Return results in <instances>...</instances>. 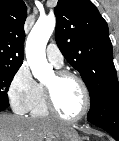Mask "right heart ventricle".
<instances>
[{
    "label": "right heart ventricle",
    "mask_w": 119,
    "mask_h": 141,
    "mask_svg": "<svg viewBox=\"0 0 119 141\" xmlns=\"http://www.w3.org/2000/svg\"><path fill=\"white\" fill-rule=\"evenodd\" d=\"M32 117L45 118L49 116V112L45 105L43 85L39 84V91L37 98L30 109Z\"/></svg>",
    "instance_id": "obj_1"
}]
</instances>
